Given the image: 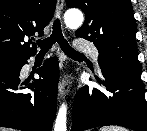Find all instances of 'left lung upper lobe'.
<instances>
[{
    "mask_svg": "<svg viewBox=\"0 0 147 131\" xmlns=\"http://www.w3.org/2000/svg\"><path fill=\"white\" fill-rule=\"evenodd\" d=\"M84 11L86 20L77 37L94 43L99 65L111 66L141 78L136 44V21L130 0H66Z\"/></svg>",
    "mask_w": 147,
    "mask_h": 131,
    "instance_id": "1",
    "label": "left lung upper lobe"
}]
</instances>
